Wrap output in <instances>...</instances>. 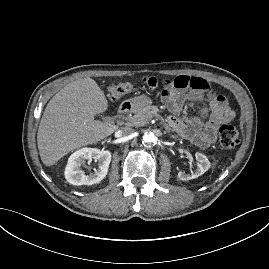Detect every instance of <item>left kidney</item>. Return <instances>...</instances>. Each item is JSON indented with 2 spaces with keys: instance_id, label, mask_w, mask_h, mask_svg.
<instances>
[{
  "instance_id": "obj_1",
  "label": "left kidney",
  "mask_w": 269,
  "mask_h": 269,
  "mask_svg": "<svg viewBox=\"0 0 269 269\" xmlns=\"http://www.w3.org/2000/svg\"><path fill=\"white\" fill-rule=\"evenodd\" d=\"M195 158L197 160V169L194 173L186 174L185 172L180 171L178 173V178L182 181H188L195 179L202 174H204L210 168V162L208 158L202 153H195Z\"/></svg>"
}]
</instances>
